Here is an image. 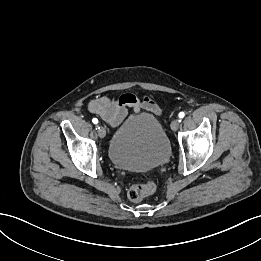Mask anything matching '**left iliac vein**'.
I'll list each match as a JSON object with an SVG mask.
<instances>
[{
	"instance_id": "obj_1",
	"label": "left iliac vein",
	"mask_w": 261,
	"mask_h": 261,
	"mask_svg": "<svg viewBox=\"0 0 261 261\" xmlns=\"http://www.w3.org/2000/svg\"><path fill=\"white\" fill-rule=\"evenodd\" d=\"M179 126H180V120L176 119V120H173V121H172V123H171V129H172L173 131L178 130Z\"/></svg>"
}]
</instances>
